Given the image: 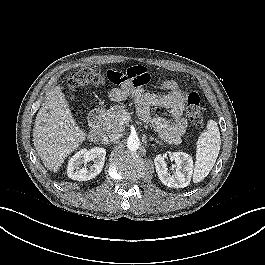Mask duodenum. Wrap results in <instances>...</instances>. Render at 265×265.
<instances>
[{
	"label": "duodenum",
	"instance_id": "duodenum-1",
	"mask_svg": "<svg viewBox=\"0 0 265 265\" xmlns=\"http://www.w3.org/2000/svg\"><path fill=\"white\" fill-rule=\"evenodd\" d=\"M102 114H103L102 108L98 107L92 110L88 116V124L90 127L89 139L91 142H97L102 135V129H101Z\"/></svg>",
	"mask_w": 265,
	"mask_h": 265
}]
</instances>
